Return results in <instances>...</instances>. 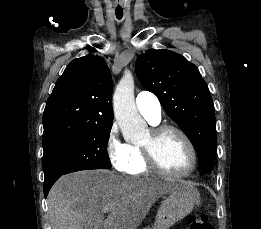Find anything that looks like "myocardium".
<instances>
[{"label": "myocardium", "mask_w": 261, "mask_h": 229, "mask_svg": "<svg viewBox=\"0 0 261 229\" xmlns=\"http://www.w3.org/2000/svg\"><path fill=\"white\" fill-rule=\"evenodd\" d=\"M171 132L176 133L179 136H181V138L184 140V142L186 143V145L190 151L191 164H190L189 168L184 172L169 171L161 164V162L159 161L158 156H157V146H158L159 141L166 133H171ZM141 146L144 150L145 157H146V160H147V163H148L150 169L157 172L158 174L168 176V177L181 178V177L188 176L196 168L197 154H196L195 146H194L193 142L191 141V139L189 138V136L182 129H180L176 126L160 125V126L152 128L150 130V134H149L147 140L144 143H142Z\"/></svg>", "instance_id": "myocardium-1"}]
</instances>
